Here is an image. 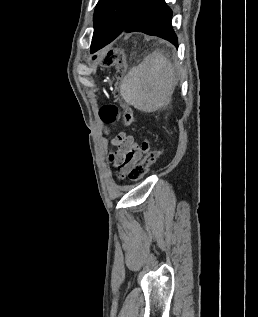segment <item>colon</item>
<instances>
[{
	"mask_svg": "<svg viewBox=\"0 0 258 317\" xmlns=\"http://www.w3.org/2000/svg\"><path fill=\"white\" fill-rule=\"evenodd\" d=\"M102 66H110L113 64L112 51L98 56H94ZM124 76L123 68L120 69L117 76L115 92L119 91ZM120 108L115 104H106L100 109V117L105 123H113L120 117ZM134 121V113L131 109H127L122 115V122L126 126H130ZM163 153V148H157L148 151L144 158L136 163L128 172V177L132 181L141 180L149 171L150 167L160 158Z\"/></svg>",
	"mask_w": 258,
	"mask_h": 317,
	"instance_id": "colon-1",
	"label": "colon"
}]
</instances>
